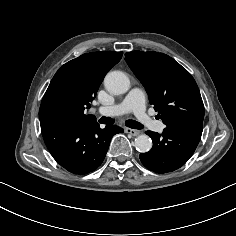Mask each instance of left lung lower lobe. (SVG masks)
Instances as JSON below:
<instances>
[{
	"label": "left lung lower lobe",
	"instance_id": "left-lung-lower-lobe-1",
	"mask_svg": "<svg viewBox=\"0 0 236 236\" xmlns=\"http://www.w3.org/2000/svg\"><path fill=\"white\" fill-rule=\"evenodd\" d=\"M202 130V124L183 123L167 126L161 135L146 131L153 140V147L149 152L140 154L142 164L157 173L180 168L194 153Z\"/></svg>",
	"mask_w": 236,
	"mask_h": 236
}]
</instances>
